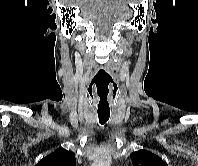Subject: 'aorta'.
Returning a JSON list of instances; mask_svg holds the SVG:
<instances>
[{"instance_id": "762f6f07", "label": "aorta", "mask_w": 198, "mask_h": 166, "mask_svg": "<svg viewBox=\"0 0 198 166\" xmlns=\"http://www.w3.org/2000/svg\"><path fill=\"white\" fill-rule=\"evenodd\" d=\"M111 159L107 155H103L94 160L92 166H110Z\"/></svg>"}]
</instances>
